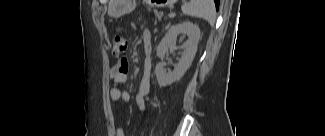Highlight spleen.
Segmentation results:
<instances>
[{
  "mask_svg": "<svg viewBox=\"0 0 325 136\" xmlns=\"http://www.w3.org/2000/svg\"><path fill=\"white\" fill-rule=\"evenodd\" d=\"M185 15L202 18L213 26L216 20V10L213 0H191L181 7Z\"/></svg>",
  "mask_w": 325,
  "mask_h": 136,
  "instance_id": "spleen-1",
  "label": "spleen"
}]
</instances>
